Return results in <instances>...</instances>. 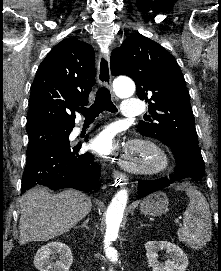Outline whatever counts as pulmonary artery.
Wrapping results in <instances>:
<instances>
[{
    "instance_id": "1",
    "label": "pulmonary artery",
    "mask_w": 221,
    "mask_h": 271,
    "mask_svg": "<svg viewBox=\"0 0 221 271\" xmlns=\"http://www.w3.org/2000/svg\"><path fill=\"white\" fill-rule=\"evenodd\" d=\"M124 103L122 117H138V112H144L146 102H139V98H127Z\"/></svg>"
}]
</instances>
